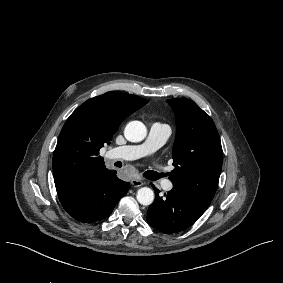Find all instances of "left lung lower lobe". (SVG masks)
Masks as SVG:
<instances>
[{"label": "left lung lower lobe", "instance_id": "obj_1", "mask_svg": "<svg viewBox=\"0 0 283 283\" xmlns=\"http://www.w3.org/2000/svg\"><path fill=\"white\" fill-rule=\"evenodd\" d=\"M155 200L147 211V222L153 228L176 233L190 227L205 212L210 203L173 185V189L159 196L153 185Z\"/></svg>", "mask_w": 283, "mask_h": 283}]
</instances>
